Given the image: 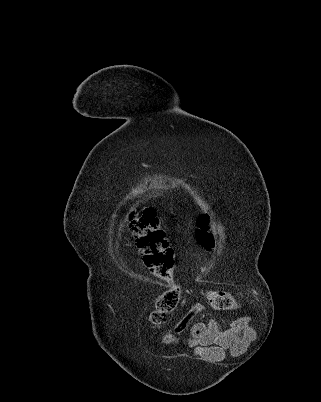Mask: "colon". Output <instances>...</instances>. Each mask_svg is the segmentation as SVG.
I'll return each mask as SVG.
<instances>
[{
	"label": "colon",
	"mask_w": 321,
	"mask_h": 402,
	"mask_svg": "<svg viewBox=\"0 0 321 402\" xmlns=\"http://www.w3.org/2000/svg\"><path fill=\"white\" fill-rule=\"evenodd\" d=\"M128 222L148 269L165 283H170L174 267V249L159 226L156 210L147 207L141 212H131ZM196 239L198 244L208 251L215 246V238L210 232L208 214H201L198 218ZM204 293H207V290H204ZM179 300L180 291L177 287H170L159 295L150 317L152 324L156 327L163 326L169 315L177 308ZM208 300L211 306L219 311L230 312L238 306L233 294L225 290L209 291ZM176 339L177 337L171 334L165 337L167 343H172Z\"/></svg>",
	"instance_id": "1"
}]
</instances>
